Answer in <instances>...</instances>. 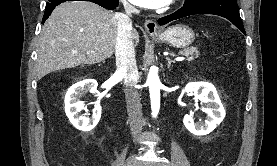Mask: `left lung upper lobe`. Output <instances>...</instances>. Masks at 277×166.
Here are the masks:
<instances>
[{
  "instance_id": "left-lung-upper-lobe-1",
  "label": "left lung upper lobe",
  "mask_w": 277,
  "mask_h": 166,
  "mask_svg": "<svg viewBox=\"0 0 277 166\" xmlns=\"http://www.w3.org/2000/svg\"><path fill=\"white\" fill-rule=\"evenodd\" d=\"M195 1H197V0H185L184 5L192 4V3H194Z\"/></svg>"
}]
</instances>
